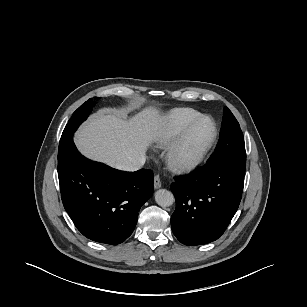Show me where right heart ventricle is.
<instances>
[{"mask_svg": "<svg viewBox=\"0 0 307 307\" xmlns=\"http://www.w3.org/2000/svg\"><path fill=\"white\" fill-rule=\"evenodd\" d=\"M200 115L202 114L191 108H176L170 111L164 117L163 123L156 136L155 141L157 147H168L185 126Z\"/></svg>", "mask_w": 307, "mask_h": 307, "instance_id": "right-heart-ventricle-1", "label": "right heart ventricle"}]
</instances>
